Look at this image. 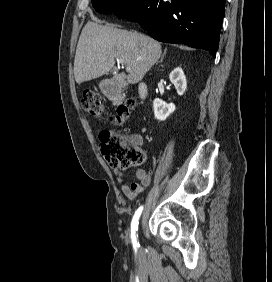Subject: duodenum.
<instances>
[{
	"mask_svg": "<svg viewBox=\"0 0 272 282\" xmlns=\"http://www.w3.org/2000/svg\"><path fill=\"white\" fill-rule=\"evenodd\" d=\"M105 91L107 97L112 101H120L123 97L124 87L120 82L119 78L109 81L105 86ZM148 90L144 83L139 85V96L141 99H145L147 96Z\"/></svg>",
	"mask_w": 272,
	"mask_h": 282,
	"instance_id": "410a0bca",
	"label": "duodenum"
}]
</instances>
